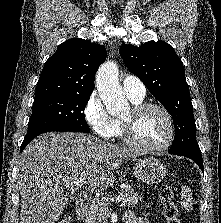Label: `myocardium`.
Instances as JSON below:
<instances>
[{"mask_svg":"<svg viewBox=\"0 0 221 223\" xmlns=\"http://www.w3.org/2000/svg\"><path fill=\"white\" fill-rule=\"evenodd\" d=\"M150 109H156L162 112L168 122V128H169L168 136L162 144L157 145V146H150L147 144L140 143L137 140H135L133 136L134 118L140 115L141 113ZM121 128H122L121 137L124 140V142L127 145L131 146L132 148L140 150V151H144V152L164 151L172 145L176 136V127H175L174 119L171 112L165 106L158 103H152V102H142V103L135 104L132 108L131 118L121 120Z\"/></svg>","mask_w":221,"mask_h":223,"instance_id":"f54148a6","label":"myocardium"}]
</instances>
